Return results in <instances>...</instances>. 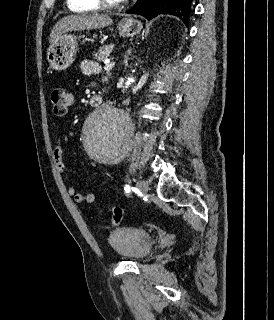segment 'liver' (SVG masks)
I'll return each instance as SVG.
<instances>
[{
  "mask_svg": "<svg viewBox=\"0 0 274 320\" xmlns=\"http://www.w3.org/2000/svg\"><path fill=\"white\" fill-rule=\"evenodd\" d=\"M113 20L105 14H76V16H65L55 24L49 38V44H55L62 34L72 30H100L111 26Z\"/></svg>",
  "mask_w": 274,
  "mask_h": 320,
  "instance_id": "obj_1",
  "label": "liver"
}]
</instances>
